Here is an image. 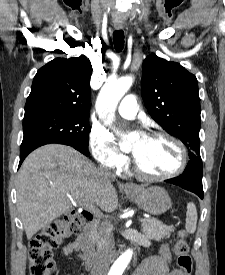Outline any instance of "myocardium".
Instances as JSON below:
<instances>
[{
	"mask_svg": "<svg viewBox=\"0 0 225 275\" xmlns=\"http://www.w3.org/2000/svg\"><path fill=\"white\" fill-rule=\"evenodd\" d=\"M147 137H149V138H163V139H167L170 142H172L177 147V149L179 151V155H180L179 164L176 167V169H174L173 171H171L169 173L161 174V175H153V174H148V173L144 172L141 169V167L139 166L135 157H133V171L136 175H138L139 177L146 179V180L161 181V180H167V179L174 178L177 175L181 174L185 170L187 163H188V153H187V149H186L185 145L183 144V142L181 140L172 136L169 133L161 132V131L152 132Z\"/></svg>",
	"mask_w": 225,
	"mask_h": 275,
	"instance_id": "obj_1",
	"label": "myocardium"
}]
</instances>
